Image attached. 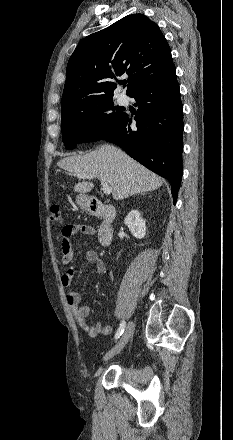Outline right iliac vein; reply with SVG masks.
<instances>
[{
    "label": "right iliac vein",
    "mask_w": 233,
    "mask_h": 440,
    "mask_svg": "<svg viewBox=\"0 0 233 440\" xmlns=\"http://www.w3.org/2000/svg\"><path fill=\"white\" fill-rule=\"evenodd\" d=\"M133 329H134V323L132 321H130L128 323L122 337L119 339V341L116 343V345L109 352H107L105 354V356L103 357L104 361L111 359L112 357H114L115 355H117L118 353L121 352V350L125 347V345L129 341V339L131 338L132 333H133Z\"/></svg>",
    "instance_id": "1"
}]
</instances>
